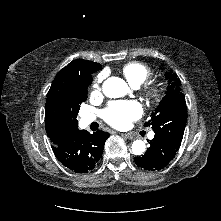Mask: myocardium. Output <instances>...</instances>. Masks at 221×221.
Listing matches in <instances>:
<instances>
[{"label": "myocardium", "instance_id": "myocardium-1", "mask_svg": "<svg viewBox=\"0 0 221 221\" xmlns=\"http://www.w3.org/2000/svg\"><path fill=\"white\" fill-rule=\"evenodd\" d=\"M149 100L153 103L159 102L164 94V90L160 85H152L146 89Z\"/></svg>", "mask_w": 221, "mask_h": 221}]
</instances>
